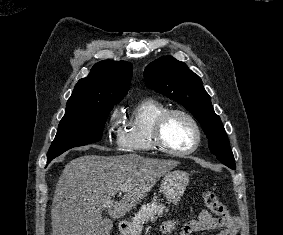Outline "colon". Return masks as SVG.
<instances>
[{"label":"colon","instance_id":"obj_1","mask_svg":"<svg viewBox=\"0 0 283 235\" xmlns=\"http://www.w3.org/2000/svg\"><path fill=\"white\" fill-rule=\"evenodd\" d=\"M206 206L217 216L222 219L229 218L228 208L218 199L217 195L212 191H206L203 194Z\"/></svg>","mask_w":283,"mask_h":235}]
</instances>
